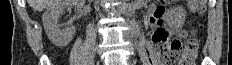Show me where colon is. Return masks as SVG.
Returning <instances> with one entry per match:
<instances>
[{
    "instance_id": "obj_1",
    "label": "colon",
    "mask_w": 232,
    "mask_h": 65,
    "mask_svg": "<svg viewBox=\"0 0 232 65\" xmlns=\"http://www.w3.org/2000/svg\"><path fill=\"white\" fill-rule=\"evenodd\" d=\"M190 9L195 16H201L206 9V0H190ZM160 40L157 44V53L167 64H172L179 57L178 65H194L198 51V40L194 36L188 38H173L170 35L163 38L156 35Z\"/></svg>"
}]
</instances>
